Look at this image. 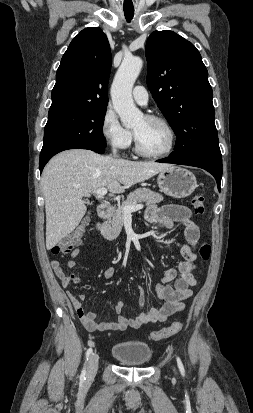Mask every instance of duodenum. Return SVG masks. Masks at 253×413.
Instances as JSON below:
<instances>
[{"label": "duodenum", "mask_w": 253, "mask_h": 413, "mask_svg": "<svg viewBox=\"0 0 253 413\" xmlns=\"http://www.w3.org/2000/svg\"><path fill=\"white\" fill-rule=\"evenodd\" d=\"M113 214V208L107 203H102L98 207V215L102 219H108Z\"/></svg>", "instance_id": "1"}]
</instances>
